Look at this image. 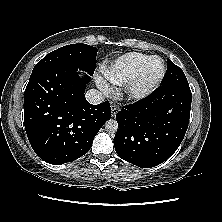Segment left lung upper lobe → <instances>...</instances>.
Returning a JSON list of instances; mask_svg holds the SVG:
<instances>
[{
	"label": "left lung upper lobe",
	"mask_w": 222,
	"mask_h": 222,
	"mask_svg": "<svg viewBox=\"0 0 222 222\" xmlns=\"http://www.w3.org/2000/svg\"><path fill=\"white\" fill-rule=\"evenodd\" d=\"M169 84H188L184 72L176 66L170 59L167 60V71L161 85Z\"/></svg>",
	"instance_id": "5c2ea615"
}]
</instances>
